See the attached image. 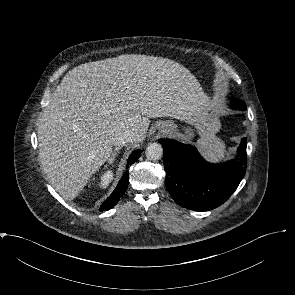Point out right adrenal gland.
<instances>
[{
    "label": "right adrenal gland",
    "mask_w": 295,
    "mask_h": 295,
    "mask_svg": "<svg viewBox=\"0 0 295 295\" xmlns=\"http://www.w3.org/2000/svg\"><path fill=\"white\" fill-rule=\"evenodd\" d=\"M122 148L121 147H117L114 149L111 157L108 159V163L109 164H112L113 161L115 160V157L119 154V151L121 150Z\"/></svg>",
    "instance_id": "right-adrenal-gland-1"
}]
</instances>
